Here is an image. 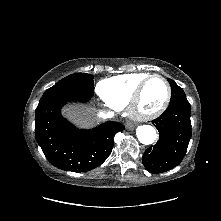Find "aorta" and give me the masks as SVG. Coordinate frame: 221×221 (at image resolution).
Listing matches in <instances>:
<instances>
[{"label":"aorta","instance_id":"1","mask_svg":"<svg viewBox=\"0 0 221 221\" xmlns=\"http://www.w3.org/2000/svg\"><path fill=\"white\" fill-rule=\"evenodd\" d=\"M136 135L140 143L150 145L154 143L157 138L156 130L150 125H141L136 130Z\"/></svg>","mask_w":221,"mask_h":221}]
</instances>
